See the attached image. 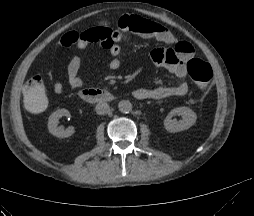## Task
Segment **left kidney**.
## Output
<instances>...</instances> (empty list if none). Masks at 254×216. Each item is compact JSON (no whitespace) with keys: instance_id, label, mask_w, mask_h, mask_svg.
Wrapping results in <instances>:
<instances>
[{"instance_id":"1","label":"left kidney","mask_w":254,"mask_h":216,"mask_svg":"<svg viewBox=\"0 0 254 216\" xmlns=\"http://www.w3.org/2000/svg\"><path fill=\"white\" fill-rule=\"evenodd\" d=\"M175 115H181L182 120L172 119ZM196 113L188 107H177L171 110L164 120V127L170 133L189 129L196 122Z\"/></svg>"}]
</instances>
